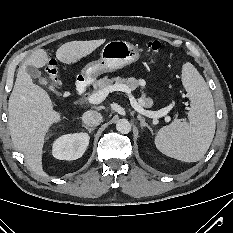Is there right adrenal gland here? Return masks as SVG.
<instances>
[{
	"label": "right adrenal gland",
	"instance_id": "obj_1",
	"mask_svg": "<svg viewBox=\"0 0 233 233\" xmlns=\"http://www.w3.org/2000/svg\"><path fill=\"white\" fill-rule=\"evenodd\" d=\"M82 127H84L86 130H88L89 133H91L95 128H90L84 124H82Z\"/></svg>",
	"mask_w": 233,
	"mask_h": 233
}]
</instances>
